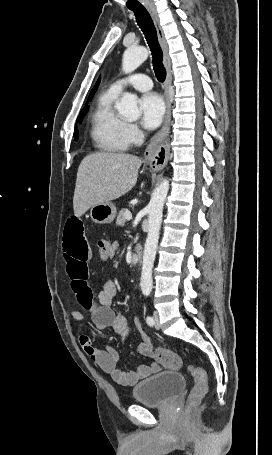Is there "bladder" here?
I'll return each instance as SVG.
<instances>
[{
    "mask_svg": "<svg viewBox=\"0 0 272 455\" xmlns=\"http://www.w3.org/2000/svg\"><path fill=\"white\" fill-rule=\"evenodd\" d=\"M185 377L175 371H162L141 382L132 390L134 401L155 407L168 405L185 388Z\"/></svg>",
    "mask_w": 272,
    "mask_h": 455,
    "instance_id": "31cf9c89",
    "label": "bladder"
}]
</instances>
